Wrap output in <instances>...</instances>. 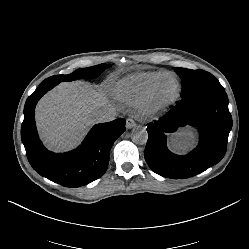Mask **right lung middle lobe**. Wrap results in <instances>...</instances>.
Here are the masks:
<instances>
[{"instance_id": "1", "label": "right lung middle lobe", "mask_w": 249, "mask_h": 249, "mask_svg": "<svg viewBox=\"0 0 249 249\" xmlns=\"http://www.w3.org/2000/svg\"><path fill=\"white\" fill-rule=\"evenodd\" d=\"M109 65L107 64H99L96 66L78 69L71 74L68 75H55L45 79L41 84L44 83H55L58 84L60 82L72 81L76 79H90L98 77L105 69H107Z\"/></svg>"}]
</instances>
